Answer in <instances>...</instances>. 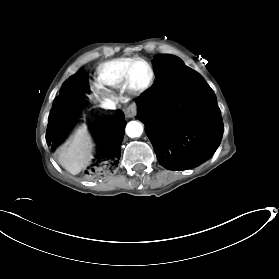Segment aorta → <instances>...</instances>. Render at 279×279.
<instances>
[{"instance_id": "obj_1", "label": "aorta", "mask_w": 279, "mask_h": 279, "mask_svg": "<svg viewBox=\"0 0 279 279\" xmlns=\"http://www.w3.org/2000/svg\"><path fill=\"white\" fill-rule=\"evenodd\" d=\"M143 132V126L141 123L136 121H131L126 125V133L129 137H139Z\"/></svg>"}]
</instances>
